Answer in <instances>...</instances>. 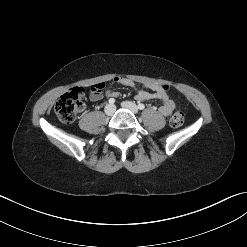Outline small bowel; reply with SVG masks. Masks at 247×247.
Masks as SVG:
<instances>
[{"instance_id": "1", "label": "small bowel", "mask_w": 247, "mask_h": 247, "mask_svg": "<svg viewBox=\"0 0 247 247\" xmlns=\"http://www.w3.org/2000/svg\"><path fill=\"white\" fill-rule=\"evenodd\" d=\"M113 82L126 87H131L136 90L135 99L137 101H150L157 99L161 102L159 112L163 116H169L175 107L174 101L169 96V87L161 86L158 84H145L142 88L136 87L133 80L126 77H115ZM145 88L150 89L152 92H148ZM102 91H92L90 93V98L93 101H98L103 97ZM105 95L108 97H118V92L113 89H107Z\"/></svg>"}]
</instances>
